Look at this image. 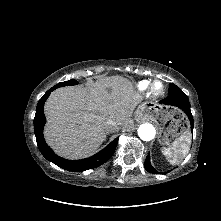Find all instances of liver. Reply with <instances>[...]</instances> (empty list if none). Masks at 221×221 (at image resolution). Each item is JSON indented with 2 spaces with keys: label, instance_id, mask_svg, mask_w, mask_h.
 <instances>
[{
  "label": "liver",
  "instance_id": "6515ba94",
  "mask_svg": "<svg viewBox=\"0 0 221 221\" xmlns=\"http://www.w3.org/2000/svg\"><path fill=\"white\" fill-rule=\"evenodd\" d=\"M141 101L140 93L121 76L103 78L87 87L56 89L44 106L45 139L63 157H88L106 139L104 123L113 120L119 129L131 128L130 117Z\"/></svg>",
  "mask_w": 221,
  "mask_h": 221
}]
</instances>
